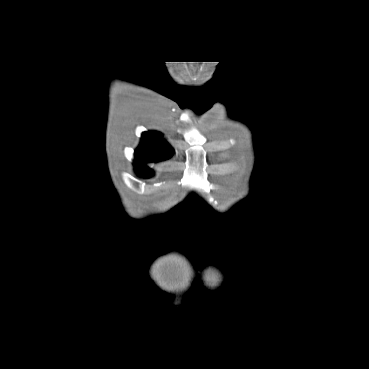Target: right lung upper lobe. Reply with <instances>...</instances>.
<instances>
[{
	"mask_svg": "<svg viewBox=\"0 0 369 369\" xmlns=\"http://www.w3.org/2000/svg\"><path fill=\"white\" fill-rule=\"evenodd\" d=\"M173 155V149L162 138L158 132H145L142 135V142L135 151L136 160L134 165L136 172L146 178L153 175V171L144 166L146 162H158L170 158Z\"/></svg>",
	"mask_w": 369,
	"mask_h": 369,
	"instance_id": "1",
	"label": "right lung upper lobe"
}]
</instances>
